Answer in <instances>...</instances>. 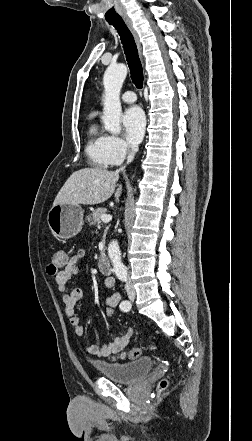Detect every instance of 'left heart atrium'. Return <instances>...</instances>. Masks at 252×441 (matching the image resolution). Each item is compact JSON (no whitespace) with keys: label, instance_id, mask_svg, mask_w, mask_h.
Segmentation results:
<instances>
[{"label":"left heart atrium","instance_id":"left-heart-atrium-1","mask_svg":"<svg viewBox=\"0 0 252 441\" xmlns=\"http://www.w3.org/2000/svg\"><path fill=\"white\" fill-rule=\"evenodd\" d=\"M122 123L127 142L131 145L138 144L145 131L146 120L143 111L137 106L130 107L125 111Z\"/></svg>","mask_w":252,"mask_h":441}]
</instances>
